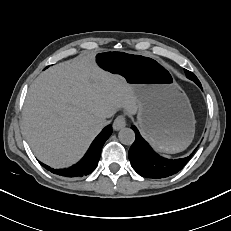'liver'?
<instances>
[{
  "label": "liver",
  "mask_w": 231,
  "mask_h": 231,
  "mask_svg": "<svg viewBox=\"0 0 231 231\" xmlns=\"http://www.w3.org/2000/svg\"><path fill=\"white\" fill-rule=\"evenodd\" d=\"M94 53L57 64L30 86L22 130L35 156L64 168L76 163L102 127L119 109L139 111L137 97L124 79L100 69Z\"/></svg>",
  "instance_id": "6515ba94"
}]
</instances>
